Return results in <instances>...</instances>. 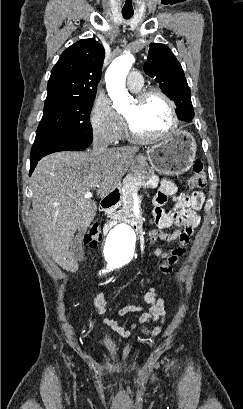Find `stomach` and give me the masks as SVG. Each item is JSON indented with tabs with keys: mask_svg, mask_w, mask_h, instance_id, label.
<instances>
[{
	"mask_svg": "<svg viewBox=\"0 0 243 409\" xmlns=\"http://www.w3.org/2000/svg\"><path fill=\"white\" fill-rule=\"evenodd\" d=\"M196 142L193 136L182 130L170 134L165 140L149 147L146 155H138L131 166L133 173L144 172L146 176L154 171L164 175H179L193 164Z\"/></svg>",
	"mask_w": 243,
	"mask_h": 409,
	"instance_id": "obj_1",
	"label": "stomach"
}]
</instances>
